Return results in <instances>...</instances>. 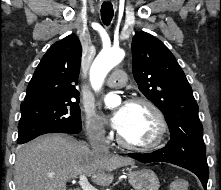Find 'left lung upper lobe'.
<instances>
[{
  "label": "left lung upper lobe",
  "instance_id": "5c2ea615",
  "mask_svg": "<svg viewBox=\"0 0 221 190\" xmlns=\"http://www.w3.org/2000/svg\"><path fill=\"white\" fill-rule=\"evenodd\" d=\"M132 60L139 90L166 118L171 148L206 154L198 105L174 55L159 39L141 31L132 39Z\"/></svg>",
  "mask_w": 221,
  "mask_h": 190
}]
</instances>
